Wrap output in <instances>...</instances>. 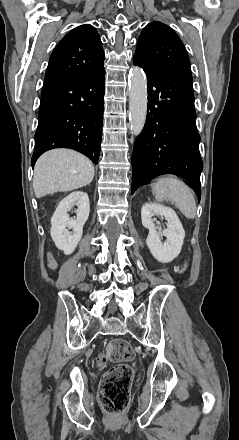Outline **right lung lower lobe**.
Returning <instances> with one entry per match:
<instances>
[{"label": "right lung lower lobe", "mask_w": 239, "mask_h": 440, "mask_svg": "<svg viewBox=\"0 0 239 440\" xmlns=\"http://www.w3.org/2000/svg\"><path fill=\"white\" fill-rule=\"evenodd\" d=\"M104 89V69L90 76L45 79L32 166L42 153L54 148L74 149L97 164Z\"/></svg>", "instance_id": "obj_1"}]
</instances>
